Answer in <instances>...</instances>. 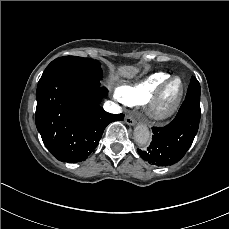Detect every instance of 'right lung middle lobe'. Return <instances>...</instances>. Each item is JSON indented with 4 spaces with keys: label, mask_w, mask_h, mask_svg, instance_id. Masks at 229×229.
I'll list each match as a JSON object with an SVG mask.
<instances>
[{
    "label": "right lung middle lobe",
    "mask_w": 229,
    "mask_h": 229,
    "mask_svg": "<svg viewBox=\"0 0 229 229\" xmlns=\"http://www.w3.org/2000/svg\"><path fill=\"white\" fill-rule=\"evenodd\" d=\"M75 73L101 79L102 70L100 63L91 58H82L77 56H64L53 60L44 70L38 85L52 79L53 77L65 74Z\"/></svg>",
    "instance_id": "right-lung-middle-lobe-1"
}]
</instances>
